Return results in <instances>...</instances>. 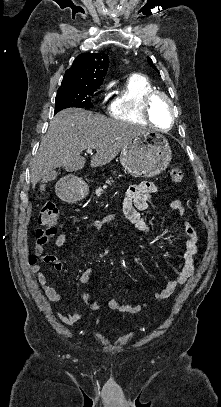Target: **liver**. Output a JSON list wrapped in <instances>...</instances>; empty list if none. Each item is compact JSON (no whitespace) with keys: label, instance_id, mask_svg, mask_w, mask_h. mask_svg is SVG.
I'll list each match as a JSON object with an SVG mask.
<instances>
[{"label":"liver","instance_id":"obj_1","mask_svg":"<svg viewBox=\"0 0 221 407\" xmlns=\"http://www.w3.org/2000/svg\"><path fill=\"white\" fill-rule=\"evenodd\" d=\"M144 127L113 120L78 108L60 111L50 121L31 164V184L48 172L63 167L67 172L83 169L86 159L81 153L94 149L90 165L95 168L110 163Z\"/></svg>","mask_w":221,"mask_h":407}]
</instances>
